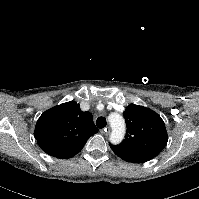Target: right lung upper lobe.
Instances as JSON below:
<instances>
[{
	"mask_svg": "<svg viewBox=\"0 0 199 199\" xmlns=\"http://www.w3.org/2000/svg\"><path fill=\"white\" fill-rule=\"evenodd\" d=\"M97 132L92 114L81 111L79 104L70 101L42 113L34 136L47 154L67 159L79 153Z\"/></svg>",
	"mask_w": 199,
	"mask_h": 199,
	"instance_id": "cb5924a9",
	"label": "right lung upper lobe"
}]
</instances>
